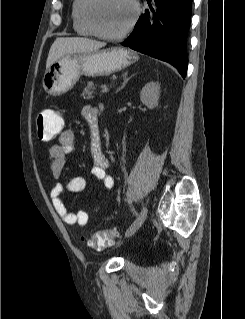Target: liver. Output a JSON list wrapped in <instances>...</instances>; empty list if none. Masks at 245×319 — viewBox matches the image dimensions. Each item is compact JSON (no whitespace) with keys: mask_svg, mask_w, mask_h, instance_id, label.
<instances>
[{"mask_svg":"<svg viewBox=\"0 0 245 319\" xmlns=\"http://www.w3.org/2000/svg\"><path fill=\"white\" fill-rule=\"evenodd\" d=\"M106 44L84 37H59L52 44L46 61V69L57 59L70 53L98 51Z\"/></svg>","mask_w":245,"mask_h":319,"instance_id":"obj_1","label":"liver"}]
</instances>
